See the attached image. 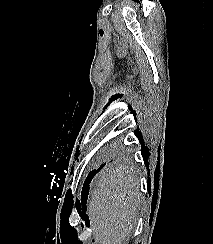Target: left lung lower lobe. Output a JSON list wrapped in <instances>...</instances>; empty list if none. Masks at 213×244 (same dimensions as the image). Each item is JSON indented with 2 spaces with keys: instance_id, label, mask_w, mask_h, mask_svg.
I'll list each match as a JSON object with an SVG mask.
<instances>
[{
  "instance_id": "obj_1",
  "label": "left lung lower lobe",
  "mask_w": 213,
  "mask_h": 244,
  "mask_svg": "<svg viewBox=\"0 0 213 244\" xmlns=\"http://www.w3.org/2000/svg\"><path fill=\"white\" fill-rule=\"evenodd\" d=\"M105 166V164H102L97 170H93L89 175L88 177L86 178L85 182H84V185H83V195H85V200H86V197H87V194H88V189H89V184L92 180V178L94 177V175L96 173H98L103 167Z\"/></svg>"
}]
</instances>
